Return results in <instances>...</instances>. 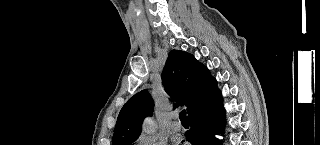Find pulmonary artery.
I'll return each mask as SVG.
<instances>
[{
	"label": "pulmonary artery",
	"mask_w": 320,
	"mask_h": 145,
	"mask_svg": "<svg viewBox=\"0 0 320 145\" xmlns=\"http://www.w3.org/2000/svg\"><path fill=\"white\" fill-rule=\"evenodd\" d=\"M178 115L174 114L173 115V121L170 124V127L174 131H180L182 129V125L179 121H177Z\"/></svg>",
	"instance_id": "1"
}]
</instances>
